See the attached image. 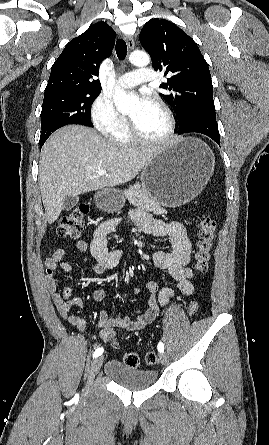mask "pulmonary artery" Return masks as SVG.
<instances>
[{
	"label": "pulmonary artery",
	"instance_id": "pulmonary-artery-1",
	"mask_svg": "<svg viewBox=\"0 0 269 445\" xmlns=\"http://www.w3.org/2000/svg\"><path fill=\"white\" fill-rule=\"evenodd\" d=\"M156 74L149 68H139L134 71L124 73L119 78V84L123 87H134L144 82L155 80Z\"/></svg>",
	"mask_w": 269,
	"mask_h": 445
}]
</instances>
